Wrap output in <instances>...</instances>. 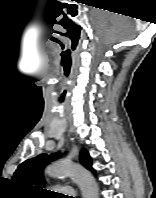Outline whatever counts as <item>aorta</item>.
Segmentation results:
<instances>
[{
    "label": "aorta",
    "mask_w": 156,
    "mask_h": 198,
    "mask_svg": "<svg viewBox=\"0 0 156 198\" xmlns=\"http://www.w3.org/2000/svg\"><path fill=\"white\" fill-rule=\"evenodd\" d=\"M46 174L52 178L71 176L80 187L83 198L99 197V190L94 177L81 166L59 162L47 167Z\"/></svg>",
    "instance_id": "obj_1"
}]
</instances>
